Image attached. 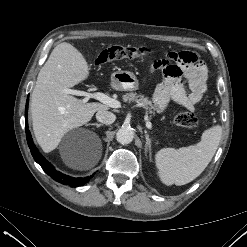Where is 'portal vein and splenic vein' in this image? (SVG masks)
I'll return each mask as SVG.
<instances>
[{
    "label": "portal vein and splenic vein",
    "mask_w": 247,
    "mask_h": 247,
    "mask_svg": "<svg viewBox=\"0 0 247 247\" xmlns=\"http://www.w3.org/2000/svg\"><path fill=\"white\" fill-rule=\"evenodd\" d=\"M65 92L68 94H72V95L84 96L85 98L83 99V102H87L90 98H94V99L102 102L103 104L111 107V108H120L121 107L120 101L113 99V98H111V97H109L106 94L101 93V92L87 93L84 91H78V90H72V89H66ZM146 127L148 129L152 128V124L148 119L146 120Z\"/></svg>",
    "instance_id": "portal-vein-and-splenic-vein-1"
}]
</instances>
